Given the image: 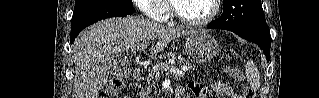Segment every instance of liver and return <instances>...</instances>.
<instances>
[{
	"label": "liver",
	"mask_w": 319,
	"mask_h": 98,
	"mask_svg": "<svg viewBox=\"0 0 319 98\" xmlns=\"http://www.w3.org/2000/svg\"><path fill=\"white\" fill-rule=\"evenodd\" d=\"M194 31L171 28L139 16L109 18L82 32L73 44L75 77L72 98H97L108 81L105 60L135 50L149 40L156 54L173 39Z\"/></svg>",
	"instance_id": "6515ba94"
}]
</instances>
